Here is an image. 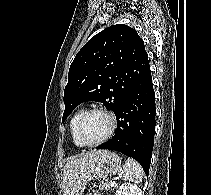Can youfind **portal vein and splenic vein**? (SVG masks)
Segmentation results:
<instances>
[{"label":"portal vein and splenic vein","mask_w":211,"mask_h":195,"mask_svg":"<svg viewBox=\"0 0 211 195\" xmlns=\"http://www.w3.org/2000/svg\"><path fill=\"white\" fill-rule=\"evenodd\" d=\"M116 185V182L115 181H112L111 182V186H115Z\"/></svg>","instance_id":"obj_1"}]
</instances>
